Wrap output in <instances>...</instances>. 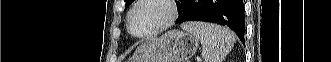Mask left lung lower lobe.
I'll list each match as a JSON object with an SVG mask.
<instances>
[{"label":"left lung lower lobe","instance_id":"obj_1","mask_svg":"<svg viewBox=\"0 0 331 62\" xmlns=\"http://www.w3.org/2000/svg\"><path fill=\"white\" fill-rule=\"evenodd\" d=\"M243 0H187L176 23L205 21L225 25L244 43Z\"/></svg>","mask_w":331,"mask_h":62}]
</instances>
